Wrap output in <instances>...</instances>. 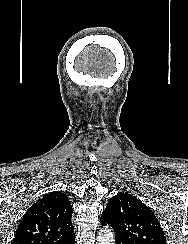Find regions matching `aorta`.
<instances>
[{
	"instance_id": "obj_1",
	"label": "aorta",
	"mask_w": 188,
	"mask_h": 244,
	"mask_svg": "<svg viewBox=\"0 0 188 244\" xmlns=\"http://www.w3.org/2000/svg\"><path fill=\"white\" fill-rule=\"evenodd\" d=\"M114 234L111 228H103L98 232L96 244H114Z\"/></svg>"
}]
</instances>
